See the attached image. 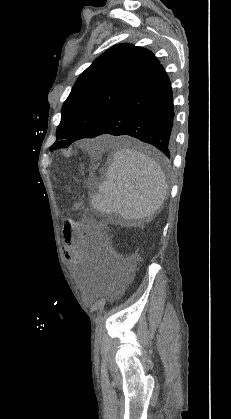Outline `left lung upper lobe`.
<instances>
[{
    "mask_svg": "<svg viewBox=\"0 0 231 419\" xmlns=\"http://www.w3.org/2000/svg\"><path fill=\"white\" fill-rule=\"evenodd\" d=\"M149 50L118 44L99 56L77 79L62 107L57 142L50 150L88 138L157 66Z\"/></svg>",
    "mask_w": 231,
    "mask_h": 419,
    "instance_id": "5c2ea615",
    "label": "left lung upper lobe"
}]
</instances>
